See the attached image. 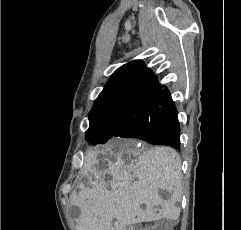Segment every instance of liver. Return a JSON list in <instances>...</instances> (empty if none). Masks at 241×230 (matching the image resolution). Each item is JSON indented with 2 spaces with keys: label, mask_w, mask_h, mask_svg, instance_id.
Segmentation results:
<instances>
[{
  "label": "liver",
  "mask_w": 241,
  "mask_h": 230,
  "mask_svg": "<svg viewBox=\"0 0 241 230\" xmlns=\"http://www.w3.org/2000/svg\"><path fill=\"white\" fill-rule=\"evenodd\" d=\"M99 153L101 159L93 154L87 156L92 164L98 165L88 166L94 180L87 174L88 186L70 197L71 205L81 210L77 230H109L113 219L122 229L133 223L179 217L180 209L175 204L180 200L181 159L175 150L152 147L140 151L123 145L118 151L105 146ZM109 177L114 181L112 190L105 184ZM161 188L174 191L171 200L161 199L158 195ZM157 204L162 206L159 213L154 210Z\"/></svg>",
  "instance_id": "1"
}]
</instances>
